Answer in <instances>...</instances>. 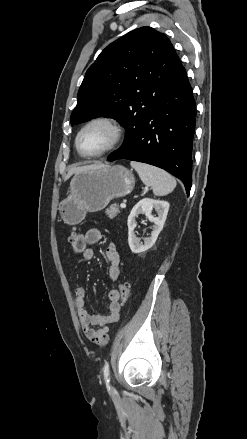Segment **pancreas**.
<instances>
[{
	"instance_id": "cf45deb5",
	"label": "pancreas",
	"mask_w": 247,
	"mask_h": 439,
	"mask_svg": "<svg viewBox=\"0 0 247 439\" xmlns=\"http://www.w3.org/2000/svg\"><path fill=\"white\" fill-rule=\"evenodd\" d=\"M120 213V209L117 204H112L109 208L106 209V214L110 219H114Z\"/></svg>"
}]
</instances>
